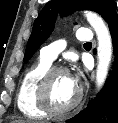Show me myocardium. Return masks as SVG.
<instances>
[{
  "instance_id": "1",
  "label": "myocardium",
  "mask_w": 118,
  "mask_h": 123,
  "mask_svg": "<svg viewBox=\"0 0 118 123\" xmlns=\"http://www.w3.org/2000/svg\"><path fill=\"white\" fill-rule=\"evenodd\" d=\"M59 73H69L65 67L51 66L42 76L38 86V102L40 107L48 114L64 115L72 111L82 100L83 90L78 86L73 101L65 107H58L52 100L51 90L54 77Z\"/></svg>"
}]
</instances>
